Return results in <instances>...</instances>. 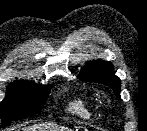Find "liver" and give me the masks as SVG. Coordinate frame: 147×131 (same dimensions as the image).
I'll list each match as a JSON object with an SVG mask.
<instances>
[{"label": "liver", "instance_id": "obj_1", "mask_svg": "<svg viewBox=\"0 0 147 131\" xmlns=\"http://www.w3.org/2000/svg\"><path fill=\"white\" fill-rule=\"evenodd\" d=\"M22 131H71L68 127L59 126L55 123H40L34 124L25 128Z\"/></svg>", "mask_w": 147, "mask_h": 131}]
</instances>
